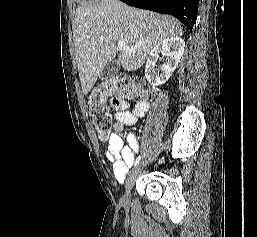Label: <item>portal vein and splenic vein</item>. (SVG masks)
Wrapping results in <instances>:
<instances>
[{
	"instance_id": "18ae733b",
	"label": "portal vein and splenic vein",
	"mask_w": 257,
	"mask_h": 237,
	"mask_svg": "<svg viewBox=\"0 0 257 237\" xmlns=\"http://www.w3.org/2000/svg\"><path fill=\"white\" fill-rule=\"evenodd\" d=\"M117 48L119 50H129L130 48L127 46V44L122 41V40H119L118 43H117Z\"/></svg>"
}]
</instances>
